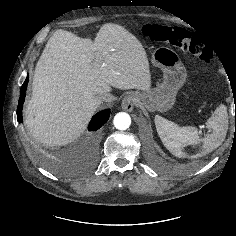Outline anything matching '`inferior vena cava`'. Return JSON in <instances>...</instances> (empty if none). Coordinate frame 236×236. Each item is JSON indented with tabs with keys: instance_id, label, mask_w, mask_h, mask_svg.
Here are the masks:
<instances>
[{
	"instance_id": "obj_1",
	"label": "inferior vena cava",
	"mask_w": 236,
	"mask_h": 236,
	"mask_svg": "<svg viewBox=\"0 0 236 236\" xmlns=\"http://www.w3.org/2000/svg\"><path fill=\"white\" fill-rule=\"evenodd\" d=\"M101 101L104 102H112L114 100H116V97L113 96L111 93L107 92V93H103L100 97Z\"/></svg>"
}]
</instances>
